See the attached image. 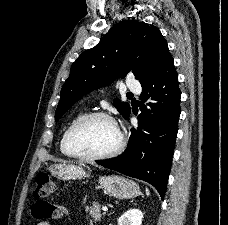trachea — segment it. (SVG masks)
<instances>
[{
  "label": "trachea",
  "instance_id": "1",
  "mask_svg": "<svg viewBox=\"0 0 228 225\" xmlns=\"http://www.w3.org/2000/svg\"><path fill=\"white\" fill-rule=\"evenodd\" d=\"M127 97L128 98H133V94H131V92H128Z\"/></svg>",
  "mask_w": 228,
  "mask_h": 225
}]
</instances>
